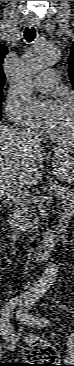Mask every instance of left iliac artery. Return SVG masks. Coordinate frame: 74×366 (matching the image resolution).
I'll return each mask as SVG.
<instances>
[{
	"label": "left iliac artery",
	"instance_id": "44dca946",
	"mask_svg": "<svg viewBox=\"0 0 74 366\" xmlns=\"http://www.w3.org/2000/svg\"><path fill=\"white\" fill-rule=\"evenodd\" d=\"M36 299H38V297H32L29 298L24 304L22 309L19 311V317L22 316L23 320L21 319V321H23L24 323L28 324V325H32V326H38V327H44L47 326L49 324V320L46 318H38L35 317L31 314L28 313V311L30 310L31 306L35 303Z\"/></svg>",
	"mask_w": 74,
	"mask_h": 366
}]
</instances>
